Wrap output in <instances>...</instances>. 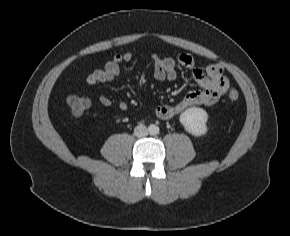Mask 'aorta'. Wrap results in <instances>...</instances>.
Masks as SVG:
<instances>
[{"mask_svg":"<svg viewBox=\"0 0 290 236\" xmlns=\"http://www.w3.org/2000/svg\"><path fill=\"white\" fill-rule=\"evenodd\" d=\"M158 132H159V128H158L157 126L152 125V126L150 127V133H151V134H157Z\"/></svg>","mask_w":290,"mask_h":236,"instance_id":"1","label":"aorta"}]
</instances>
